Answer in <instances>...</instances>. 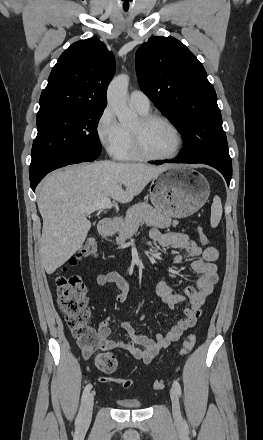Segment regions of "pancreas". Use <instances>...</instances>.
I'll return each mask as SVG.
<instances>
[{"instance_id":"1","label":"pancreas","mask_w":263,"mask_h":440,"mask_svg":"<svg viewBox=\"0 0 263 440\" xmlns=\"http://www.w3.org/2000/svg\"><path fill=\"white\" fill-rule=\"evenodd\" d=\"M139 224L168 228L171 225L176 227L178 221L172 220L148 203L135 204L127 210L125 219L119 221L117 244L124 245L125 241L137 231Z\"/></svg>"}]
</instances>
